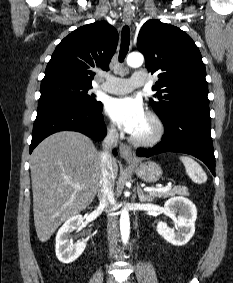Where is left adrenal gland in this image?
Listing matches in <instances>:
<instances>
[{
    "instance_id": "left-adrenal-gland-1",
    "label": "left adrenal gland",
    "mask_w": 233,
    "mask_h": 283,
    "mask_svg": "<svg viewBox=\"0 0 233 283\" xmlns=\"http://www.w3.org/2000/svg\"><path fill=\"white\" fill-rule=\"evenodd\" d=\"M137 194L140 202L151 201V198L144 194L140 186H137Z\"/></svg>"
}]
</instances>
